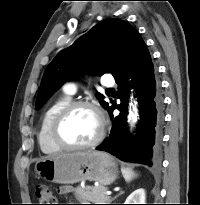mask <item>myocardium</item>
I'll return each mask as SVG.
<instances>
[{
  "label": "myocardium",
  "instance_id": "myocardium-1",
  "mask_svg": "<svg viewBox=\"0 0 200 205\" xmlns=\"http://www.w3.org/2000/svg\"><path fill=\"white\" fill-rule=\"evenodd\" d=\"M79 108L90 109L96 114L99 123V130L95 138L90 142L85 144H80V145H72L63 141L60 135V130L66 118L74 110ZM105 133H106V121L103 113L101 112L99 107L96 106L94 103L90 101H84V100L70 101L67 105H65L56 115L51 127V138L54 144L60 149L67 150V151L85 150V149L93 148L97 146L104 139Z\"/></svg>",
  "mask_w": 200,
  "mask_h": 205
}]
</instances>
